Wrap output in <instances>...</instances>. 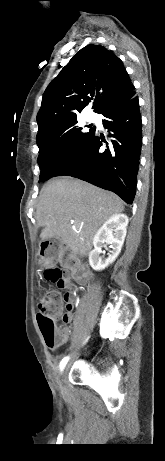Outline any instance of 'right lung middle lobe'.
Segmentation results:
<instances>
[{
  "label": "right lung middle lobe",
  "instance_id": "1",
  "mask_svg": "<svg viewBox=\"0 0 165 461\" xmlns=\"http://www.w3.org/2000/svg\"><path fill=\"white\" fill-rule=\"evenodd\" d=\"M94 128L83 132L77 119L60 124L37 139L38 164L41 169L39 182L53 177L65 166L90 139Z\"/></svg>",
  "mask_w": 165,
  "mask_h": 461
}]
</instances>
